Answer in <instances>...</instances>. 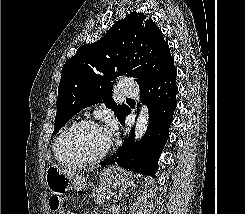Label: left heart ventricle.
<instances>
[{
    "label": "left heart ventricle",
    "mask_w": 245,
    "mask_h": 214,
    "mask_svg": "<svg viewBox=\"0 0 245 214\" xmlns=\"http://www.w3.org/2000/svg\"><path fill=\"white\" fill-rule=\"evenodd\" d=\"M109 144V136L100 128L81 126L65 139L62 152L72 158H91L100 154Z\"/></svg>",
    "instance_id": "left-heart-ventricle-1"
}]
</instances>
